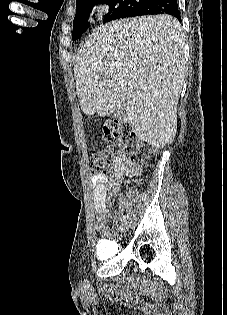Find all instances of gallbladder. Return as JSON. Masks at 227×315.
I'll use <instances>...</instances> for the list:
<instances>
[{
	"mask_svg": "<svg viewBox=\"0 0 227 315\" xmlns=\"http://www.w3.org/2000/svg\"><path fill=\"white\" fill-rule=\"evenodd\" d=\"M126 111L125 109L123 108L121 111H120V115H119V119L122 120V121H125L126 120Z\"/></svg>",
	"mask_w": 227,
	"mask_h": 315,
	"instance_id": "1",
	"label": "gallbladder"
}]
</instances>
